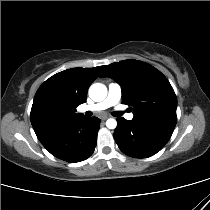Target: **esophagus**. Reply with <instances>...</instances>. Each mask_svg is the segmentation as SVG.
I'll return each instance as SVG.
<instances>
[{"label":"esophagus","instance_id":"1","mask_svg":"<svg viewBox=\"0 0 210 210\" xmlns=\"http://www.w3.org/2000/svg\"><path fill=\"white\" fill-rule=\"evenodd\" d=\"M108 115H103V116H101V120H106V119H108Z\"/></svg>","mask_w":210,"mask_h":210}]
</instances>
